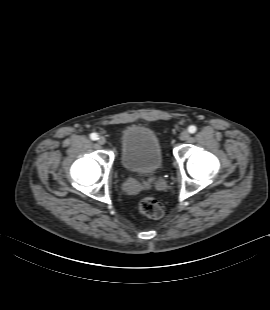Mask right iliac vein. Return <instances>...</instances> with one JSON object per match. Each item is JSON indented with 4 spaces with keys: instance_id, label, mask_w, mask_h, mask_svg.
Masks as SVG:
<instances>
[{
    "instance_id": "obj_1",
    "label": "right iliac vein",
    "mask_w": 270,
    "mask_h": 310,
    "mask_svg": "<svg viewBox=\"0 0 270 310\" xmlns=\"http://www.w3.org/2000/svg\"><path fill=\"white\" fill-rule=\"evenodd\" d=\"M98 143H99L100 145H104V144L106 143V138H105L104 136H100V137L98 138Z\"/></svg>"
}]
</instances>
